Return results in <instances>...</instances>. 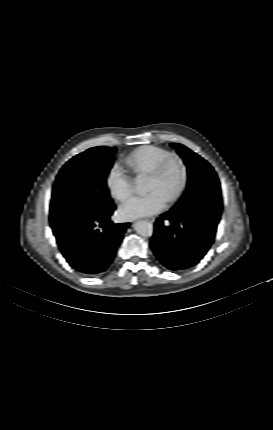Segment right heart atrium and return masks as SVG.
<instances>
[{"instance_id":"d8ad5b80","label":"right heart atrium","mask_w":273,"mask_h":430,"mask_svg":"<svg viewBox=\"0 0 273 430\" xmlns=\"http://www.w3.org/2000/svg\"><path fill=\"white\" fill-rule=\"evenodd\" d=\"M106 184L111 196L118 201L125 200L133 190L132 178L119 164H115L109 169Z\"/></svg>"}]
</instances>
